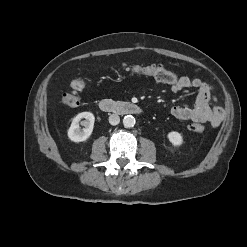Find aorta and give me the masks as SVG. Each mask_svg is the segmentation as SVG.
Masks as SVG:
<instances>
[{
  "instance_id": "1",
  "label": "aorta",
  "mask_w": 247,
  "mask_h": 247,
  "mask_svg": "<svg viewBox=\"0 0 247 247\" xmlns=\"http://www.w3.org/2000/svg\"><path fill=\"white\" fill-rule=\"evenodd\" d=\"M123 125L126 128H131L135 125V118L132 115H126L123 118Z\"/></svg>"
}]
</instances>
